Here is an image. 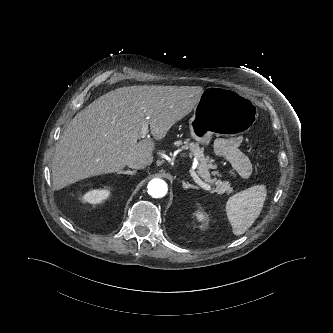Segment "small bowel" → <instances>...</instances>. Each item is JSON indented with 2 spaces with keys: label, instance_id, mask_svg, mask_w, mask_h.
Returning a JSON list of instances; mask_svg holds the SVG:
<instances>
[{
  "label": "small bowel",
  "instance_id": "obj_1",
  "mask_svg": "<svg viewBox=\"0 0 333 333\" xmlns=\"http://www.w3.org/2000/svg\"><path fill=\"white\" fill-rule=\"evenodd\" d=\"M242 138H219L214 143V150L218 157L229 165V174L233 178L248 179L252 173L249 159L242 152Z\"/></svg>",
  "mask_w": 333,
  "mask_h": 333
}]
</instances>
